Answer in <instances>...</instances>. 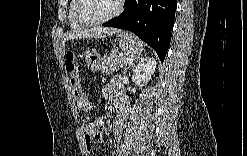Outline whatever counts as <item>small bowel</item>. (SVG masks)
<instances>
[{
	"mask_svg": "<svg viewBox=\"0 0 247 156\" xmlns=\"http://www.w3.org/2000/svg\"><path fill=\"white\" fill-rule=\"evenodd\" d=\"M67 68L70 73V83L74 89V93L78 100L79 106L86 113H88L89 107H91V105L88 103V101L84 97L81 87H80V82H79L80 65L76 62L71 61L69 65L67 66ZM102 96L104 99L114 97V100L117 106V113L119 111L122 112L120 117L116 116L114 124H113V129H112L115 140L119 141L122 136L124 121L128 115L127 98H126V94H125V91H124V88L121 82L118 79H115L111 83L105 85L102 89ZM85 116H88V114H86ZM85 116L83 117L82 121H85ZM103 123H104V117L99 116L98 123L96 125L101 126ZM83 132H84V126H83ZM92 140L93 139L86 137L84 133L86 153H90L92 151ZM96 140L98 141L102 140L101 130H100V136L96 138ZM118 152H119L118 149H116V151L114 152V155H118Z\"/></svg>",
	"mask_w": 247,
	"mask_h": 156,
	"instance_id": "1",
	"label": "small bowel"
}]
</instances>
